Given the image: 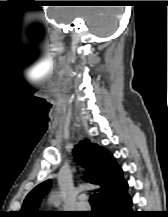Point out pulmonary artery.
I'll return each instance as SVG.
<instances>
[{"mask_svg":"<svg viewBox=\"0 0 168 217\" xmlns=\"http://www.w3.org/2000/svg\"><path fill=\"white\" fill-rule=\"evenodd\" d=\"M84 200H85L84 196H80L78 198V202H77V208L78 209H81V210L88 209V205H87V203Z\"/></svg>","mask_w":168,"mask_h":217,"instance_id":"1","label":"pulmonary artery"}]
</instances>
